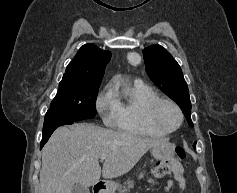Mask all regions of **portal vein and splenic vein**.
I'll return each instance as SVG.
<instances>
[{
    "label": "portal vein and splenic vein",
    "mask_w": 237,
    "mask_h": 193,
    "mask_svg": "<svg viewBox=\"0 0 237 193\" xmlns=\"http://www.w3.org/2000/svg\"><path fill=\"white\" fill-rule=\"evenodd\" d=\"M106 157H107V156H106L105 154H102V155L100 156V159H101V160H104V159H106Z\"/></svg>",
    "instance_id": "portal-vein-and-splenic-vein-1"
}]
</instances>
